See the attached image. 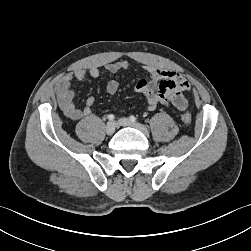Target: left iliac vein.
Wrapping results in <instances>:
<instances>
[{
  "label": "left iliac vein",
  "instance_id": "4c4485c4",
  "mask_svg": "<svg viewBox=\"0 0 251 251\" xmlns=\"http://www.w3.org/2000/svg\"><path fill=\"white\" fill-rule=\"evenodd\" d=\"M118 123H119V125L124 126V127H133V128H136V129L140 130L145 135L149 134L147 128L144 125H142L140 123L131 122L127 118H121V119H119Z\"/></svg>",
  "mask_w": 251,
  "mask_h": 251
}]
</instances>
